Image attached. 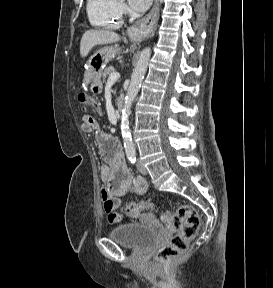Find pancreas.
Listing matches in <instances>:
<instances>
[{
  "instance_id": "pancreas-1",
  "label": "pancreas",
  "mask_w": 273,
  "mask_h": 288,
  "mask_svg": "<svg viewBox=\"0 0 273 288\" xmlns=\"http://www.w3.org/2000/svg\"><path fill=\"white\" fill-rule=\"evenodd\" d=\"M113 72H115V68L113 66H109L103 71L102 78L104 83L106 82L108 75H110Z\"/></svg>"
}]
</instances>
